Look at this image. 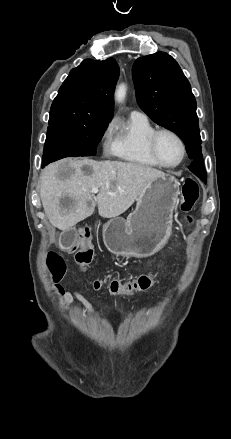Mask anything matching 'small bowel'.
<instances>
[{
  "instance_id": "c3829d8e",
  "label": "small bowel",
  "mask_w": 231,
  "mask_h": 439,
  "mask_svg": "<svg viewBox=\"0 0 231 439\" xmlns=\"http://www.w3.org/2000/svg\"><path fill=\"white\" fill-rule=\"evenodd\" d=\"M74 300H77L85 308L88 315L93 313L91 303L78 291L66 292L64 294V302L66 305L72 303Z\"/></svg>"
}]
</instances>
